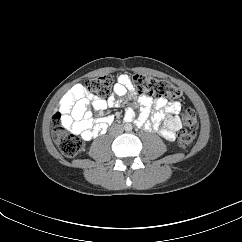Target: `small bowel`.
I'll use <instances>...</instances> for the list:
<instances>
[{
	"instance_id": "obj_1",
	"label": "small bowel",
	"mask_w": 242,
	"mask_h": 242,
	"mask_svg": "<svg viewBox=\"0 0 242 242\" xmlns=\"http://www.w3.org/2000/svg\"><path fill=\"white\" fill-rule=\"evenodd\" d=\"M114 96L104 99L96 95L86 94L82 86L77 85L64 97L60 107L63 115V124L73 133L80 135L85 140L97 136L105 131L108 125L113 122V116H95L90 107L95 112H100L108 106H116L125 101L127 95L134 96V88L127 76L121 75L114 87ZM139 107V115L136 123L138 126L146 125L149 129L157 130L162 122L164 128L161 135L167 140L173 141L176 132L180 129L181 123L178 114L181 111V104L178 101L168 102L164 98L152 99L142 95L137 103L128 107L125 111L127 121L134 120L136 108ZM152 107L156 112L148 120Z\"/></svg>"
}]
</instances>
